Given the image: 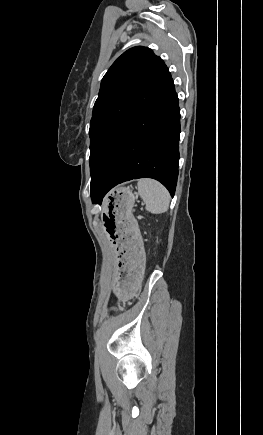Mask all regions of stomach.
Returning a JSON list of instances; mask_svg holds the SVG:
<instances>
[{
    "label": "stomach",
    "instance_id": "obj_1",
    "mask_svg": "<svg viewBox=\"0 0 263 435\" xmlns=\"http://www.w3.org/2000/svg\"><path fill=\"white\" fill-rule=\"evenodd\" d=\"M135 196L130 187H119L106 199L102 216V232L107 233L112 247H117L118 268L112 286L117 299H136L138 288L144 287V238L132 208Z\"/></svg>",
    "mask_w": 263,
    "mask_h": 435
}]
</instances>
